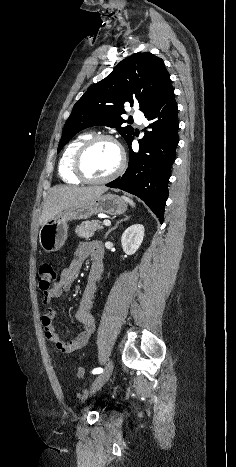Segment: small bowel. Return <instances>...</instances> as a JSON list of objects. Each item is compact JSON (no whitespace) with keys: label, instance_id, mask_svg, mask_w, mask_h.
<instances>
[{"label":"small bowel","instance_id":"obj_1","mask_svg":"<svg viewBox=\"0 0 236 467\" xmlns=\"http://www.w3.org/2000/svg\"><path fill=\"white\" fill-rule=\"evenodd\" d=\"M102 257L103 249L99 242H81L75 251L73 260L68 267L63 269L60 280L56 283L55 287L44 296V305L47 307L46 312L42 316L44 334L46 339L63 353H72L84 348L94 332L95 320L91 314V307L96 292V282L102 272ZM86 259H90L91 262L90 274L75 313V318L83 328L76 338L71 341H65L55 331L53 326L56 309L51 305V302L61 297L72 288L74 281L81 272L83 262ZM92 272L96 273V278L94 280L91 278Z\"/></svg>","mask_w":236,"mask_h":467}]
</instances>
